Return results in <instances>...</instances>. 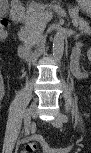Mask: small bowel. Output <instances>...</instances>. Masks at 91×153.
I'll use <instances>...</instances> for the list:
<instances>
[{"instance_id": "obj_1", "label": "small bowel", "mask_w": 91, "mask_h": 153, "mask_svg": "<svg viewBox=\"0 0 91 153\" xmlns=\"http://www.w3.org/2000/svg\"><path fill=\"white\" fill-rule=\"evenodd\" d=\"M7 33H6V30L1 28L0 29V37L1 38H4L6 37ZM34 138L36 140H39V141H44V138H42L41 136H34ZM26 140L25 139H22V140H19V143H24ZM46 152H53V153H67L69 151V148H61V149H44Z\"/></svg>"}]
</instances>
